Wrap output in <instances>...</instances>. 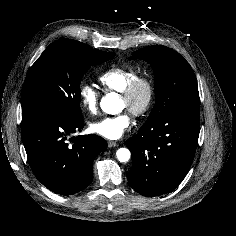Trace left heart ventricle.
I'll list each match as a JSON object with an SVG mask.
<instances>
[{
	"instance_id": "left-heart-ventricle-1",
	"label": "left heart ventricle",
	"mask_w": 236,
	"mask_h": 236,
	"mask_svg": "<svg viewBox=\"0 0 236 236\" xmlns=\"http://www.w3.org/2000/svg\"><path fill=\"white\" fill-rule=\"evenodd\" d=\"M143 98H144V92L141 91L138 96L136 97L135 101L133 103L135 104H140L142 101H143ZM131 104L128 103L127 101H125L123 98H120V108L121 109H128V107L130 106Z\"/></svg>"
}]
</instances>
